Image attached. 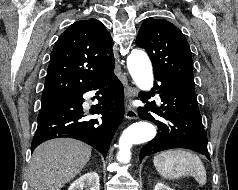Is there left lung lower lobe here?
<instances>
[{
  "label": "left lung lower lobe",
  "mask_w": 238,
  "mask_h": 190,
  "mask_svg": "<svg viewBox=\"0 0 238 190\" xmlns=\"http://www.w3.org/2000/svg\"><path fill=\"white\" fill-rule=\"evenodd\" d=\"M155 79L161 85L156 83L153 90L159 88L158 93L163 104L157 107L155 101H147L153 96V91L139 95L147 104L146 107L138 108L139 117L158 127L156 137L141 150L140 160L150 153L173 148L199 151L210 160L194 85L165 75H155Z\"/></svg>",
  "instance_id": "obj_1"
}]
</instances>
